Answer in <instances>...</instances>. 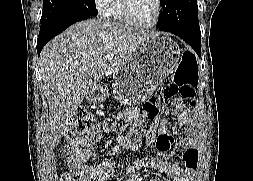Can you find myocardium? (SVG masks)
<instances>
[{
	"mask_svg": "<svg viewBox=\"0 0 253 181\" xmlns=\"http://www.w3.org/2000/svg\"><path fill=\"white\" fill-rule=\"evenodd\" d=\"M121 1V12L123 20L130 26L142 29H150L155 27L161 17L162 14V0H155L156 2V12L154 18L151 22L148 23H141L136 21L130 14L128 0H120Z\"/></svg>",
	"mask_w": 253,
	"mask_h": 181,
	"instance_id": "myocardium-1",
	"label": "myocardium"
}]
</instances>
